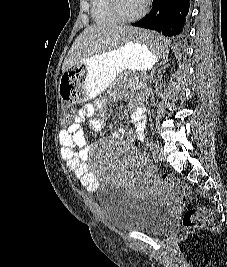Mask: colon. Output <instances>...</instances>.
<instances>
[{
  "mask_svg": "<svg viewBox=\"0 0 227 267\" xmlns=\"http://www.w3.org/2000/svg\"><path fill=\"white\" fill-rule=\"evenodd\" d=\"M75 105H66L61 112L62 119H75ZM61 125H72V120H61ZM160 185L168 192L174 193L182 201H188L191 197L190 189L178 178L169 174H163ZM213 213L205 207L190 208L182 217V227L186 233L211 226Z\"/></svg>",
  "mask_w": 227,
  "mask_h": 267,
  "instance_id": "1",
  "label": "colon"
}]
</instances>
